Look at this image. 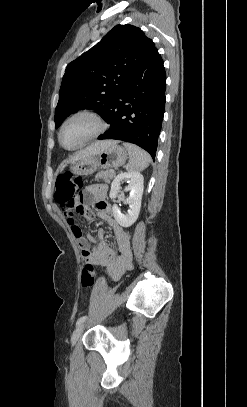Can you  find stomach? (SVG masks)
<instances>
[{
	"instance_id": "obj_1",
	"label": "stomach",
	"mask_w": 247,
	"mask_h": 407,
	"mask_svg": "<svg viewBox=\"0 0 247 407\" xmlns=\"http://www.w3.org/2000/svg\"><path fill=\"white\" fill-rule=\"evenodd\" d=\"M128 153L117 143L111 144L100 153L74 162L70 171L76 176H86L94 173L98 168H116L125 164Z\"/></svg>"
}]
</instances>
